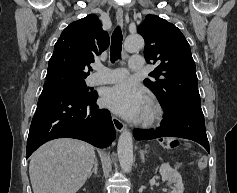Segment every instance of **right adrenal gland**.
<instances>
[{
    "instance_id": "right-adrenal-gland-1",
    "label": "right adrenal gland",
    "mask_w": 237,
    "mask_h": 193,
    "mask_svg": "<svg viewBox=\"0 0 237 193\" xmlns=\"http://www.w3.org/2000/svg\"><path fill=\"white\" fill-rule=\"evenodd\" d=\"M93 173H94L95 175H97V173H98V159H97V158H95V161H94V168H93V170L90 172L88 178H90Z\"/></svg>"
}]
</instances>
